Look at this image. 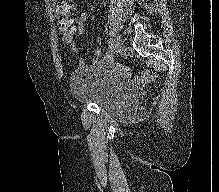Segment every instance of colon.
<instances>
[{
  "mask_svg": "<svg viewBox=\"0 0 219 192\" xmlns=\"http://www.w3.org/2000/svg\"><path fill=\"white\" fill-rule=\"evenodd\" d=\"M53 4L56 8H61L65 4V0H53Z\"/></svg>",
  "mask_w": 219,
  "mask_h": 192,
  "instance_id": "5ec220e1",
  "label": "colon"
}]
</instances>
